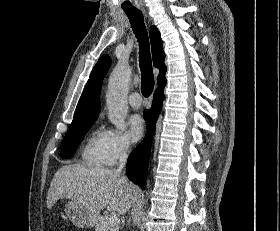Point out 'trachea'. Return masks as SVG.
<instances>
[{"mask_svg":"<svg viewBox=\"0 0 280 231\" xmlns=\"http://www.w3.org/2000/svg\"><path fill=\"white\" fill-rule=\"evenodd\" d=\"M128 16L131 27L139 42V61L141 68V93L148 97L154 89V75L152 71V62L150 56V45L148 33L144 24V18L140 10H125Z\"/></svg>","mask_w":280,"mask_h":231,"instance_id":"trachea-1","label":"trachea"}]
</instances>
